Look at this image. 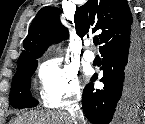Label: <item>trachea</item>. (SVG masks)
Instances as JSON below:
<instances>
[{
  "instance_id": "1",
  "label": "trachea",
  "mask_w": 145,
  "mask_h": 124,
  "mask_svg": "<svg viewBox=\"0 0 145 124\" xmlns=\"http://www.w3.org/2000/svg\"><path fill=\"white\" fill-rule=\"evenodd\" d=\"M93 43L95 44V46H97L98 43H99V40H98V39H94V40H93Z\"/></svg>"
}]
</instances>
